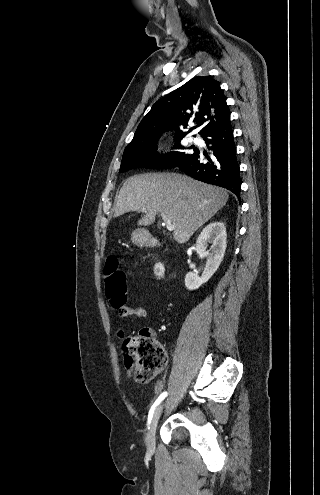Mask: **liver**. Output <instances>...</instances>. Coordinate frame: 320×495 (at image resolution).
I'll use <instances>...</instances> for the list:
<instances>
[{"label": "liver", "instance_id": "liver-1", "mask_svg": "<svg viewBox=\"0 0 320 495\" xmlns=\"http://www.w3.org/2000/svg\"><path fill=\"white\" fill-rule=\"evenodd\" d=\"M226 190L174 173L141 174L128 178L117 198L114 217L145 209L140 226L163 213L174 225V239L187 242L228 201Z\"/></svg>", "mask_w": 320, "mask_h": 495}]
</instances>
